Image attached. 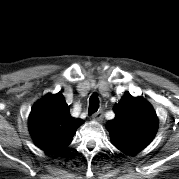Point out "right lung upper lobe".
I'll return each mask as SVG.
<instances>
[{"label":"right lung upper lobe","instance_id":"right-lung-upper-lobe-1","mask_svg":"<svg viewBox=\"0 0 179 179\" xmlns=\"http://www.w3.org/2000/svg\"><path fill=\"white\" fill-rule=\"evenodd\" d=\"M82 123L71 117L70 108L59 92L47 94L34 104L29 116V131L37 147L56 154L71 143Z\"/></svg>","mask_w":179,"mask_h":179}]
</instances>
